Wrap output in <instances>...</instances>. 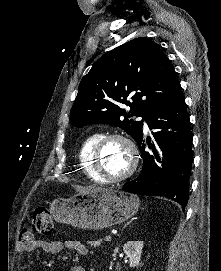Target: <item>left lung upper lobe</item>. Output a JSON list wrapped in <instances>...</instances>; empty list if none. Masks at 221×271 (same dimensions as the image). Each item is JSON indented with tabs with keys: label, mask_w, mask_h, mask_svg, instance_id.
<instances>
[{
	"label": "left lung upper lobe",
	"mask_w": 221,
	"mask_h": 271,
	"mask_svg": "<svg viewBox=\"0 0 221 271\" xmlns=\"http://www.w3.org/2000/svg\"><path fill=\"white\" fill-rule=\"evenodd\" d=\"M179 85L159 45L144 37L133 39L98 59L83 77L71 109V123L77 127L110 124L137 140L143 123L132 117L146 120ZM128 96L132 102L126 100ZM120 103L128 105L130 113Z\"/></svg>",
	"instance_id": "1"
}]
</instances>
